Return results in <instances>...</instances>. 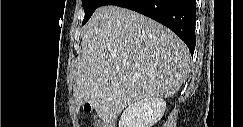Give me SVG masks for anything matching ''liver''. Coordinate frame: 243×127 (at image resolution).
I'll list each match as a JSON object with an SVG mask.
<instances>
[{
  "label": "liver",
  "instance_id": "obj_1",
  "mask_svg": "<svg viewBox=\"0 0 243 127\" xmlns=\"http://www.w3.org/2000/svg\"><path fill=\"white\" fill-rule=\"evenodd\" d=\"M74 86L107 127L139 100L174 96L187 75L190 52L171 30L118 6L98 8L84 27Z\"/></svg>",
  "mask_w": 243,
  "mask_h": 127
}]
</instances>
